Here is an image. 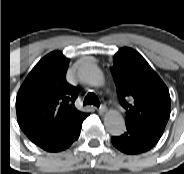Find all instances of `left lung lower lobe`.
Wrapping results in <instances>:
<instances>
[{"label": "left lung lower lobe", "mask_w": 184, "mask_h": 174, "mask_svg": "<svg viewBox=\"0 0 184 174\" xmlns=\"http://www.w3.org/2000/svg\"><path fill=\"white\" fill-rule=\"evenodd\" d=\"M126 132L112 137V144L126 154H139L150 150L160 139V135L126 126Z\"/></svg>", "instance_id": "obj_1"}]
</instances>
